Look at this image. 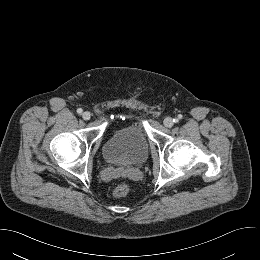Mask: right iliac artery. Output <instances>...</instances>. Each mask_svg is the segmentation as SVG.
<instances>
[{
    "label": "right iliac artery",
    "instance_id": "1",
    "mask_svg": "<svg viewBox=\"0 0 260 260\" xmlns=\"http://www.w3.org/2000/svg\"><path fill=\"white\" fill-rule=\"evenodd\" d=\"M82 112H83V110H82L81 108H78V109H77V113H78V114H82Z\"/></svg>",
    "mask_w": 260,
    "mask_h": 260
}]
</instances>
